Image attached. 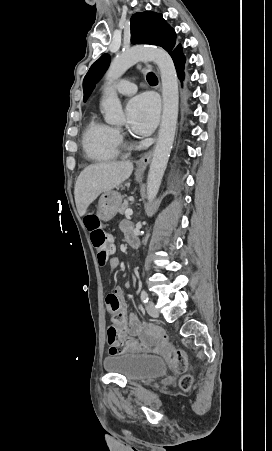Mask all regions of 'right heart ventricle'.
Returning a JSON list of instances; mask_svg holds the SVG:
<instances>
[{"instance_id":"obj_1","label":"right heart ventricle","mask_w":272,"mask_h":451,"mask_svg":"<svg viewBox=\"0 0 272 451\" xmlns=\"http://www.w3.org/2000/svg\"><path fill=\"white\" fill-rule=\"evenodd\" d=\"M117 147L116 131L106 123L93 120L84 135V148L88 157L95 161L112 159Z\"/></svg>"}]
</instances>
